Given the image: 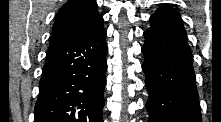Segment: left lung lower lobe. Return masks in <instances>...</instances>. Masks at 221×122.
Returning a JSON list of instances; mask_svg holds the SVG:
<instances>
[{"label": "left lung lower lobe", "instance_id": "0a47b994", "mask_svg": "<svg viewBox=\"0 0 221 122\" xmlns=\"http://www.w3.org/2000/svg\"><path fill=\"white\" fill-rule=\"evenodd\" d=\"M150 22L142 47L148 122H201L193 58L181 17L162 6Z\"/></svg>", "mask_w": 221, "mask_h": 122}]
</instances>
